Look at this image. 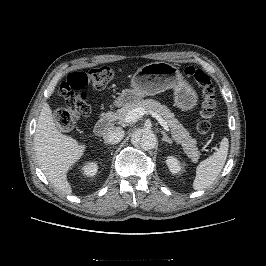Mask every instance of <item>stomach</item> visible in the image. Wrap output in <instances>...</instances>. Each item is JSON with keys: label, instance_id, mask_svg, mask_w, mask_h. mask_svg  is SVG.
I'll use <instances>...</instances> for the list:
<instances>
[{"label": "stomach", "instance_id": "obj_1", "mask_svg": "<svg viewBox=\"0 0 266 266\" xmlns=\"http://www.w3.org/2000/svg\"><path fill=\"white\" fill-rule=\"evenodd\" d=\"M173 90L174 106L183 110L193 109L198 101L194 88L184 79L178 67L167 62H154L139 68L131 78V88L124 89L116 105H129L145 96Z\"/></svg>", "mask_w": 266, "mask_h": 266}]
</instances>
